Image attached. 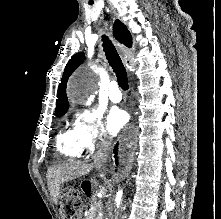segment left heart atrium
Listing matches in <instances>:
<instances>
[{"mask_svg":"<svg viewBox=\"0 0 221 219\" xmlns=\"http://www.w3.org/2000/svg\"><path fill=\"white\" fill-rule=\"evenodd\" d=\"M126 122V113L125 111L113 108L107 115L106 124L107 131L110 134H115Z\"/></svg>","mask_w":221,"mask_h":219,"instance_id":"39dd6f15","label":"left heart atrium"}]
</instances>
